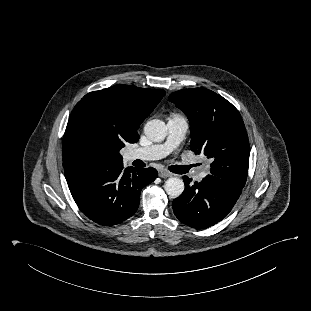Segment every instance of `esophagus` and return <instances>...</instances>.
Returning <instances> with one entry per match:
<instances>
[{
    "instance_id": "obj_1",
    "label": "esophagus",
    "mask_w": 311,
    "mask_h": 311,
    "mask_svg": "<svg viewBox=\"0 0 311 311\" xmlns=\"http://www.w3.org/2000/svg\"><path fill=\"white\" fill-rule=\"evenodd\" d=\"M172 174L166 170H160L159 171V176L161 178H167V177H170Z\"/></svg>"
}]
</instances>
